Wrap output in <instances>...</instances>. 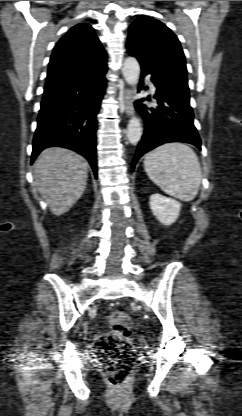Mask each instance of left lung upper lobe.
Returning <instances> with one entry per match:
<instances>
[{"instance_id": "1", "label": "left lung upper lobe", "mask_w": 242, "mask_h": 416, "mask_svg": "<svg viewBox=\"0 0 242 416\" xmlns=\"http://www.w3.org/2000/svg\"><path fill=\"white\" fill-rule=\"evenodd\" d=\"M126 47L163 84L189 95L185 55L176 35L165 24L149 16H139L129 28Z\"/></svg>"}]
</instances>
